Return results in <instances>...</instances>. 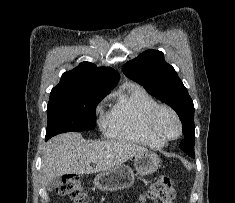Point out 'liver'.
<instances>
[{"label": "liver", "instance_id": "1", "mask_svg": "<svg viewBox=\"0 0 235 203\" xmlns=\"http://www.w3.org/2000/svg\"><path fill=\"white\" fill-rule=\"evenodd\" d=\"M147 149L123 140L90 141L79 133L51 138L43 150L41 174L47 186L66 174H92L116 168ZM91 163L96 167L92 168Z\"/></svg>", "mask_w": 235, "mask_h": 203}]
</instances>
